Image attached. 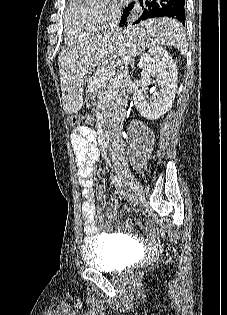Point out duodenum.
Wrapping results in <instances>:
<instances>
[{
    "label": "duodenum",
    "instance_id": "obj_1",
    "mask_svg": "<svg viewBox=\"0 0 227 315\" xmlns=\"http://www.w3.org/2000/svg\"><path fill=\"white\" fill-rule=\"evenodd\" d=\"M110 137H111L110 134H106V135L104 136V138H103V142H104L105 144H108L109 141H110Z\"/></svg>",
    "mask_w": 227,
    "mask_h": 315
}]
</instances>
